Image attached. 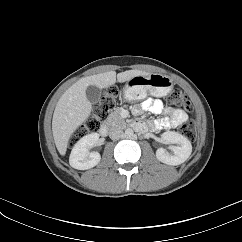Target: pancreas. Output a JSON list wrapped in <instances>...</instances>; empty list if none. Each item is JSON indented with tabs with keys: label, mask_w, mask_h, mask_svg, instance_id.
I'll return each mask as SVG.
<instances>
[{
	"label": "pancreas",
	"mask_w": 242,
	"mask_h": 242,
	"mask_svg": "<svg viewBox=\"0 0 242 242\" xmlns=\"http://www.w3.org/2000/svg\"><path fill=\"white\" fill-rule=\"evenodd\" d=\"M107 123L110 126H116L119 128H125L126 127V122L125 120L121 117V109H117L113 112H111V114H109V116L107 117Z\"/></svg>",
	"instance_id": "cf45deb5"
}]
</instances>
